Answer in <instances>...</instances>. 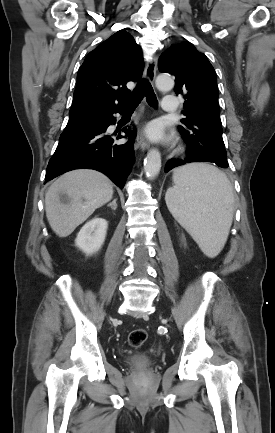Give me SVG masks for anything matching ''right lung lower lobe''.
Instances as JSON below:
<instances>
[{
  "mask_svg": "<svg viewBox=\"0 0 275 433\" xmlns=\"http://www.w3.org/2000/svg\"><path fill=\"white\" fill-rule=\"evenodd\" d=\"M111 111H96L76 122L68 123L59 138V144L47 166L45 180L74 169H95L106 174L117 186L124 187L134 162V138L136 131L124 128L125 136L108 135L109 125L116 122ZM125 144H114L116 139L127 138Z\"/></svg>",
  "mask_w": 275,
  "mask_h": 433,
  "instance_id": "right-lung-lower-lobe-1",
  "label": "right lung lower lobe"
}]
</instances>
